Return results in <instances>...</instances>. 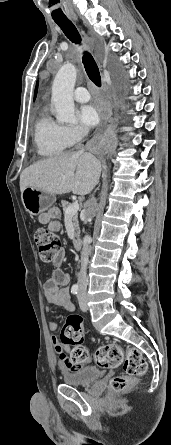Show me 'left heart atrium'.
I'll use <instances>...</instances> for the list:
<instances>
[{
    "instance_id": "39dd6f15",
    "label": "left heart atrium",
    "mask_w": 171,
    "mask_h": 445,
    "mask_svg": "<svg viewBox=\"0 0 171 445\" xmlns=\"http://www.w3.org/2000/svg\"><path fill=\"white\" fill-rule=\"evenodd\" d=\"M80 124L84 128H91L95 126L99 121V114L94 106L84 105L77 113Z\"/></svg>"
}]
</instances>
